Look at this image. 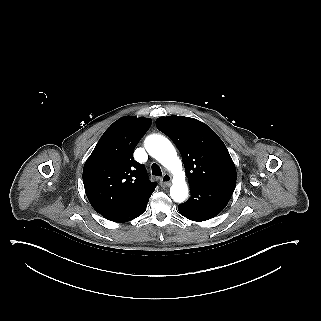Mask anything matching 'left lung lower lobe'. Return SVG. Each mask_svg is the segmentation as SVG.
Returning <instances> with one entry per match:
<instances>
[{"instance_id": "left-lung-lower-lobe-1", "label": "left lung lower lobe", "mask_w": 321, "mask_h": 321, "mask_svg": "<svg viewBox=\"0 0 321 321\" xmlns=\"http://www.w3.org/2000/svg\"><path fill=\"white\" fill-rule=\"evenodd\" d=\"M236 182L190 185L191 197L178 206L180 214L192 221H205L218 215L228 204Z\"/></svg>"}]
</instances>
